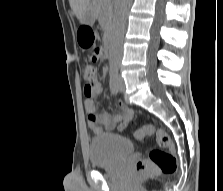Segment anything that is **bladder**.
I'll return each mask as SVG.
<instances>
[{
	"label": "bladder",
	"mask_w": 223,
	"mask_h": 191,
	"mask_svg": "<svg viewBox=\"0 0 223 191\" xmlns=\"http://www.w3.org/2000/svg\"><path fill=\"white\" fill-rule=\"evenodd\" d=\"M134 149L131 140L115 134H103L91 139L88 156L91 167L114 166Z\"/></svg>",
	"instance_id": "bladder-1"
}]
</instances>
